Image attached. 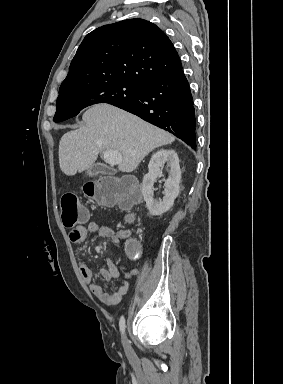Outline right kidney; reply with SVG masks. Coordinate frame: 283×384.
I'll list each match as a JSON object with an SVG mask.
<instances>
[{
	"mask_svg": "<svg viewBox=\"0 0 283 384\" xmlns=\"http://www.w3.org/2000/svg\"><path fill=\"white\" fill-rule=\"evenodd\" d=\"M164 164L170 168L169 178L165 180V190L163 200H155L154 198V182L156 178L161 176ZM149 172L145 174L142 182V194L146 202L151 216H162L164 212H168L174 204L175 198L179 194V184L181 180V170L179 166V158L174 150H159L153 154L149 162Z\"/></svg>",
	"mask_w": 283,
	"mask_h": 384,
	"instance_id": "1",
	"label": "right kidney"
}]
</instances>
